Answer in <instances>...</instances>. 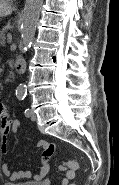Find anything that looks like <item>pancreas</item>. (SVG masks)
Here are the masks:
<instances>
[{"label": "pancreas", "mask_w": 119, "mask_h": 185, "mask_svg": "<svg viewBox=\"0 0 119 185\" xmlns=\"http://www.w3.org/2000/svg\"><path fill=\"white\" fill-rule=\"evenodd\" d=\"M0 45L1 46L6 45V33H5V31L0 32Z\"/></svg>", "instance_id": "pancreas-1"}]
</instances>
